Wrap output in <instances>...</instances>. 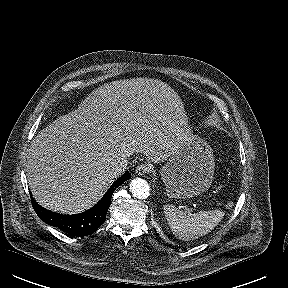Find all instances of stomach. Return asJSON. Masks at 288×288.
<instances>
[{"label":"stomach","mask_w":288,"mask_h":288,"mask_svg":"<svg viewBox=\"0 0 288 288\" xmlns=\"http://www.w3.org/2000/svg\"><path fill=\"white\" fill-rule=\"evenodd\" d=\"M214 155L208 143L191 135L170 155L161 169L165 191L170 198H191L212 184Z\"/></svg>","instance_id":"stomach-1"}]
</instances>
